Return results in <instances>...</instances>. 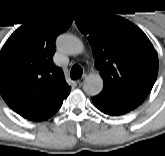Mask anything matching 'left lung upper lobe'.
<instances>
[{
	"label": "left lung upper lobe",
	"instance_id": "obj_1",
	"mask_svg": "<svg viewBox=\"0 0 165 156\" xmlns=\"http://www.w3.org/2000/svg\"><path fill=\"white\" fill-rule=\"evenodd\" d=\"M76 24L89 36L95 66L104 80L100 94L135 109L150 93L158 74V56L147 36L119 16L89 13Z\"/></svg>",
	"mask_w": 165,
	"mask_h": 156
}]
</instances>
